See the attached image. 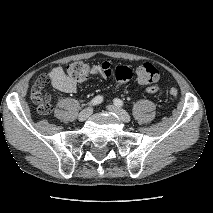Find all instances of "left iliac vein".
Listing matches in <instances>:
<instances>
[{
  "instance_id": "1",
  "label": "left iliac vein",
  "mask_w": 213,
  "mask_h": 213,
  "mask_svg": "<svg viewBox=\"0 0 213 213\" xmlns=\"http://www.w3.org/2000/svg\"><path fill=\"white\" fill-rule=\"evenodd\" d=\"M107 109L115 113L123 122H129L131 120L130 115L123 109L115 105L107 106Z\"/></svg>"
}]
</instances>
